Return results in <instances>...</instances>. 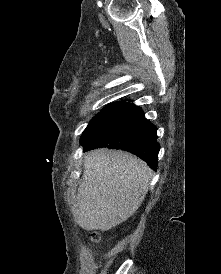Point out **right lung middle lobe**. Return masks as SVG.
I'll list each match as a JSON object with an SVG mask.
<instances>
[{
    "mask_svg": "<svg viewBox=\"0 0 221 274\" xmlns=\"http://www.w3.org/2000/svg\"><path fill=\"white\" fill-rule=\"evenodd\" d=\"M131 104L128 102H114L102 109L89 123L81 136L80 144L89 142L114 122Z\"/></svg>",
    "mask_w": 221,
    "mask_h": 274,
    "instance_id": "obj_1",
    "label": "right lung middle lobe"
}]
</instances>
